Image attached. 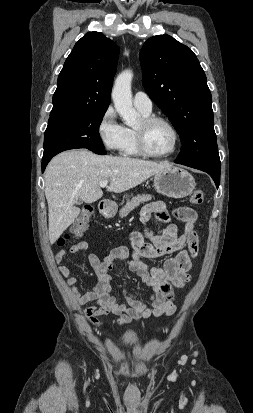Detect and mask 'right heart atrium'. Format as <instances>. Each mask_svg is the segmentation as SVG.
I'll list each match as a JSON object with an SVG mask.
<instances>
[{
    "label": "right heart atrium",
    "mask_w": 253,
    "mask_h": 413,
    "mask_svg": "<svg viewBox=\"0 0 253 413\" xmlns=\"http://www.w3.org/2000/svg\"><path fill=\"white\" fill-rule=\"evenodd\" d=\"M97 133L107 150L122 151L126 142V130L118 121L117 114L111 105L102 113L97 124Z\"/></svg>",
    "instance_id": "right-heart-atrium-1"
}]
</instances>
